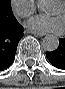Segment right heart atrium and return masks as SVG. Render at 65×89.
I'll use <instances>...</instances> for the list:
<instances>
[{
    "label": "right heart atrium",
    "mask_w": 65,
    "mask_h": 89,
    "mask_svg": "<svg viewBox=\"0 0 65 89\" xmlns=\"http://www.w3.org/2000/svg\"><path fill=\"white\" fill-rule=\"evenodd\" d=\"M11 7L14 13L20 18H30L37 10L34 0H12Z\"/></svg>",
    "instance_id": "obj_1"
}]
</instances>
